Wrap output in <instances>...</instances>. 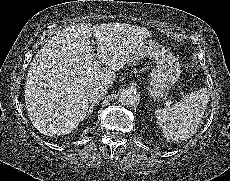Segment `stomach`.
<instances>
[{
  "instance_id": "1",
  "label": "stomach",
  "mask_w": 230,
  "mask_h": 181,
  "mask_svg": "<svg viewBox=\"0 0 230 181\" xmlns=\"http://www.w3.org/2000/svg\"><path fill=\"white\" fill-rule=\"evenodd\" d=\"M151 44L142 46L141 51L147 50ZM179 76V65L176 59L167 51H159L157 66L151 73L148 93L155 99H162Z\"/></svg>"
}]
</instances>
